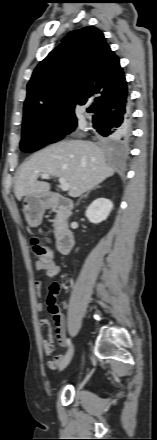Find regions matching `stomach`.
Segmentation results:
<instances>
[{
  "mask_svg": "<svg viewBox=\"0 0 157 440\" xmlns=\"http://www.w3.org/2000/svg\"><path fill=\"white\" fill-rule=\"evenodd\" d=\"M47 207V199L43 196L28 195L24 198L23 212L27 223L36 227L42 222Z\"/></svg>",
  "mask_w": 157,
  "mask_h": 440,
  "instance_id": "1",
  "label": "stomach"
}]
</instances>
